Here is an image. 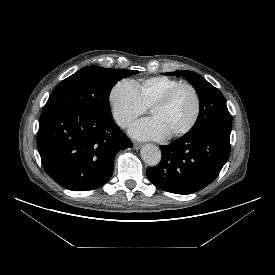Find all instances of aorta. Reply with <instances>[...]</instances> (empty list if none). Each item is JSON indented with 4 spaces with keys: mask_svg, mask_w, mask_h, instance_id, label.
<instances>
[{
    "mask_svg": "<svg viewBox=\"0 0 275 275\" xmlns=\"http://www.w3.org/2000/svg\"><path fill=\"white\" fill-rule=\"evenodd\" d=\"M141 157L149 166H156L161 160V151L153 144H146L141 149Z\"/></svg>",
    "mask_w": 275,
    "mask_h": 275,
    "instance_id": "obj_1",
    "label": "aorta"
}]
</instances>
